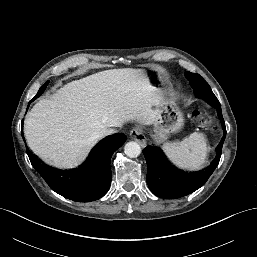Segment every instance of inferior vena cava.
<instances>
[{"label":"inferior vena cava","mask_w":257,"mask_h":257,"mask_svg":"<svg viewBox=\"0 0 257 257\" xmlns=\"http://www.w3.org/2000/svg\"><path fill=\"white\" fill-rule=\"evenodd\" d=\"M115 132H116L115 129H113V128H108V129H106V130H104V131L102 132V136H103V137H104V136H108V135L114 134Z\"/></svg>","instance_id":"inferior-vena-cava-1"}]
</instances>
